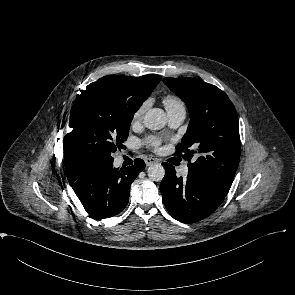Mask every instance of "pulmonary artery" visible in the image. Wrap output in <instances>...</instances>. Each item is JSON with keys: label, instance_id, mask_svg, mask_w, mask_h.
<instances>
[{"label": "pulmonary artery", "instance_id": "obj_1", "mask_svg": "<svg viewBox=\"0 0 295 295\" xmlns=\"http://www.w3.org/2000/svg\"><path fill=\"white\" fill-rule=\"evenodd\" d=\"M185 117H186V112H184V111H179V112L169 114L170 126L173 128L178 127L179 125H181L183 123V121L185 120ZM188 171H189L188 166H183L180 169V173L183 176H186L188 174Z\"/></svg>", "mask_w": 295, "mask_h": 295}]
</instances>
